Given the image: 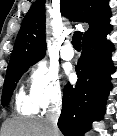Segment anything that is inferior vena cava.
<instances>
[{
    "instance_id": "obj_1",
    "label": "inferior vena cava",
    "mask_w": 117,
    "mask_h": 136,
    "mask_svg": "<svg viewBox=\"0 0 117 136\" xmlns=\"http://www.w3.org/2000/svg\"><path fill=\"white\" fill-rule=\"evenodd\" d=\"M61 113V102L59 100L53 102L46 114V119L49 124L51 136H57L58 127L57 122Z\"/></svg>"
}]
</instances>
